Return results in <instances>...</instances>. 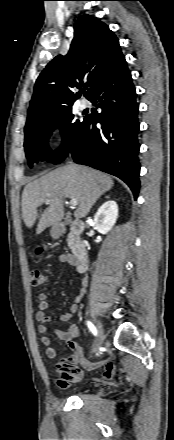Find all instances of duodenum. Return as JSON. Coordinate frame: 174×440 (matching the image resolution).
Instances as JSON below:
<instances>
[{"mask_svg":"<svg viewBox=\"0 0 174 440\" xmlns=\"http://www.w3.org/2000/svg\"><path fill=\"white\" fill-rule=\"evenodd\" d=\"M69 228L71 232L72 242H71V251L73 257L76 261L77 270L81 273L85 272L87 269L86 265V248L84 243L81 240V234L84 231L85 224L82 221H73L68 227L60 226L57 228V232L59 235H62L66 229Z\"/></svg>","mask_w":174,"mask_h":440,"instance_id":"410a0bca","label":"duodenum"}]
</instances>
